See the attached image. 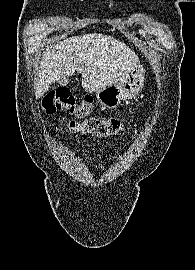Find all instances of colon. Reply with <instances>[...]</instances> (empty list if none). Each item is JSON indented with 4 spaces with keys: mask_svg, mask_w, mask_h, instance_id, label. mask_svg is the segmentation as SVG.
I'll list each match as a JSON object with an SVG mask.
<instances>
[{
    "mask_svg": "<svg viewBox=\"0 0 195 270\" xmlns=\"http://www.w3.org/2000/svg\"><path fill=\"white\" fill-rule=\"evenodd\" d=\"M48 114L57 111H68L74 118L82 121H71L68 128L74 133H86L95 136H110L118 133L123 127V120L116 116L108 118L89 117L93 111V99L86 96L76 102L68 89H57L46 95L42 103Z\"/></svg>",
    "mask_w": 195,
    "mask_h": 270,
    "instance_id": "obj_1",
    "label": "colon"
}]
</instances>
